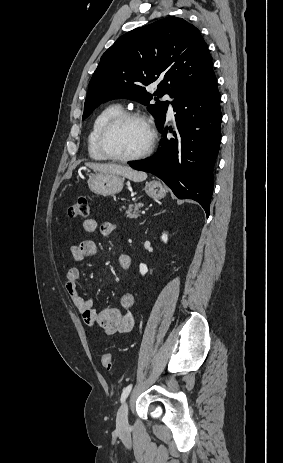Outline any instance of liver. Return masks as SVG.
<instances>
[{"label": "liver", "instance_id": "obj_1", "mask_svg": "<svg viewBox=\"0 0 283 463\" xmlns=\"http://www.w3.org/2000/svg\"><path fill=\"white\" fill-rule=\"evenodd\" d=\"M87 167L99 173L115 174L128 178L134 182H141L147 178V174L134 170L128 166L114 163H86Z\"/></svg>", "mask_w": 283, "mask_h": 463}]
</instances>
